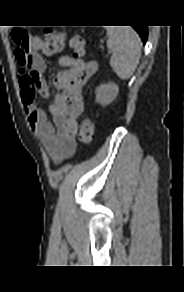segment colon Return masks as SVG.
I'll list each match as a JSON object with an SVG mask.
<instances>
[{"mask_svg": "<svg viewBox=\"0 0 184 292\" xmlns=\"http://www.w3.org/2000/svg\"><path fill=\"white\" fill-rule=\"evenodd\" d=\"M12 39L17 45L19 55L25 56L29 46V34L23 29H15L12 32ZM65 35L53 29L43 30L42 51L46 55H54L61 52L65 45ZM76 57H81L85 53V43L80 35H74L70 40ZM94 124L88 117L83 118L80 124L79 138L83 143H89L93 137Z\"/></svg>", "mask_w": 184, "mask_h": 292, "instance_id": "5ec220e1", "label": "colon"}]
</instances>
